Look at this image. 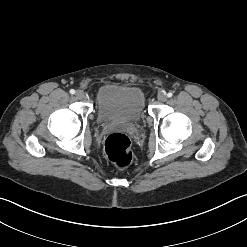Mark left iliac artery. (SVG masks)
<instances>
[{"mask_svg":"<svg viewBox=\"0 0 247 247\" xmlns=\"http://www.w3.org/2000/svg\"><path fill=\"white\" fill-rule=\"evenodd\" d=\"M167 96L170 98V97L173 96V93L169 92V93L167 94Z\"/></svg>","mask_w":247,"mask_h":247,"instance_id":"left-iliac-artery-1","label":"left iliac artery"}]
</instances>
